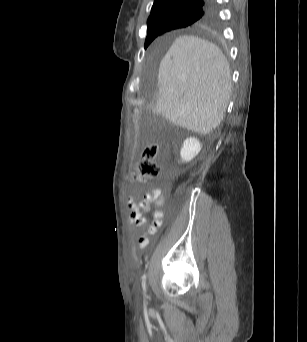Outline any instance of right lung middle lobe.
I'll use <instances>...</instances> for the list:
<instances>
[{"label":"right lung middle lobe","instance_id":"1","mask_svg":"<svg viewBox=\"0 0 307 342\" xmlns=\"http://www.w3.org/2000/svg\"><path fill=\"white\" fill-rule=\"evenodd\" d=\"M202 14L203 10L198 9L166 11L159 14L154 23L148 26L145 48L162 33L186 27L198 20Z\"/></svg>","mask_w":307,"mask_h":342}]
</instances>
